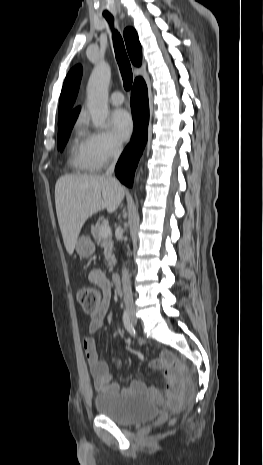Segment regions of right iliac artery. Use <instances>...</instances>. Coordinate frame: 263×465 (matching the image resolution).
I'll return each instance as SVG.
<instances>
[{
	"label": "right iliac artery",
	"instance_id": "82829eb1",
	"mask_svg": "<svg viewBox=\"0 0 263 465\" xmlns=\"http://www.w3.org/2000/svg\"><path fill=\"white\" fill-rule=\"evenodd\" d=\"M123 323L126 328V330L132 335L136 336V331L134 329V326L130 320V316L127 310L124 311L123 313Z\"/></svg>",
	"mask_w": 263,
	"mask_h": 465
}]
</instances>
